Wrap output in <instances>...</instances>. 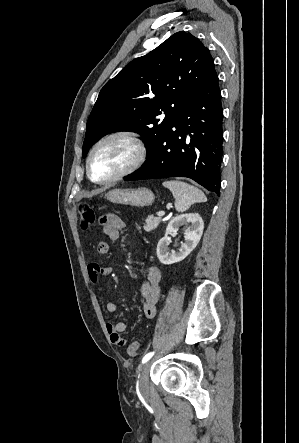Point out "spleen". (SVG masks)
Returning a JSON list of instances; mask_svg holds the SVG:
<instances>
[{
  "label": "spleen",
  "mask_w": 299,
  "mask_h": 443,
  "mask_svg": "<svg viewBox=\"0 0 299 443\" xmlns=\"http://www.w3.org/2000/svg\"><path fill=\"white\" fill-rule=\"evenodd\" d=\"M163 186L172 192L178 212L188 210L194 203L207 201V197L200 189L185 182L170 180L163 182Z\"/></svg>",
  "instance_id": "3e777b00"
}]
</instances>
